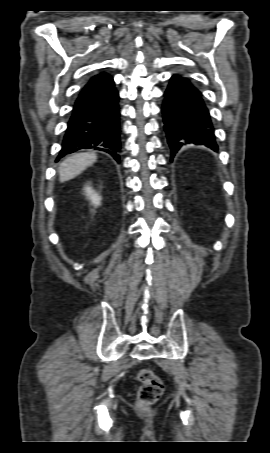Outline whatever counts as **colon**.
Listing matches in <instances>:
<instances>
[{
  "instance_id": "colon-1",
  "label": "colon",
  "mask_w": 270,
  "mask_h": 453,
  "mask_svg": "<svg viewBox=\"0 0 270 453\" xmlns=\"http://www.w3.org/2000/svg\"><path fill=\"white\" fill-rule=\"evenodd\" d=\"M137 378L141 383L137 393V407L140 411H147L161 397L164 384L152 370L143 368L139 370Z\"/></svg>"
}]
</instances>
